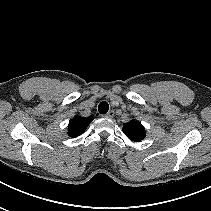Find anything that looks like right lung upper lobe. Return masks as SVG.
Segmentation results:
<instances>
[{
	"mask_svg": "<svg viewBox=\"0 0 211 211\" xmlns=\"http://www.w3.org/2000/svg\"><path fill=\"white\" fill-rule=\"evenodd\" d=\"M94 119L93 116L89 117H81V116H76L75 118L71 119L68 124V134L71 137H77L80 134H82L90 122Z\"/></svg>",
	"mask_w": 211,
	"mask_h": 211,
	"instance_id": "obj_1",
	"label": "right lung upper lobe"
}]
</instances>
